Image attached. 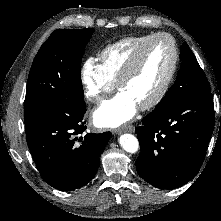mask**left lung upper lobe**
<instances>
[{
  "label": "left lung upper lobe",
  "instance_id": "left-lung-upper-lobe-1",
  "mask_svg": "<svg viewBox=\"0 0 221 221\" xmlns=\"http://www.w3.org/2000/svg\"><path fill=\"white\" fill-rule=\"evenodd\" d=\"M180 59L182 64L177 74V80L158 105L179 97L187 98L211 92L210 84L187 43L182 45Z\"/></svg>",
  "mask_w": 221,
  "mask_h": 221
}]
</instances>
